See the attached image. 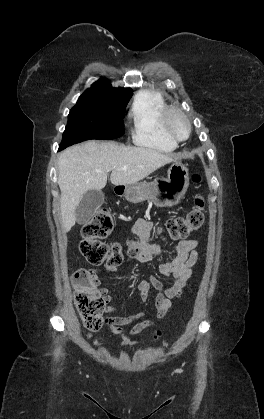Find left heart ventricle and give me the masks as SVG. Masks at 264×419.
I'll return each mask as SVG.
<instances>
[{
    "mask_svg": "<svg viewBox=\"0 0 264 419\" xmlns=\"http://www.w3.org/2000/svg\"><path fill=\"white\" fill-rule=\"evenodd\" d=\"M171 127H172L173 132L178 137L183 138V137L186 136V134H187V127H186L185 122L181 118H179L177 116H174L171 119Z\"/></svg>",
    "mask_w": 264,
    "mask_h": 419,
    "instance_id": "1",
    "label": "left heart ventricle"
}]
</instances>
